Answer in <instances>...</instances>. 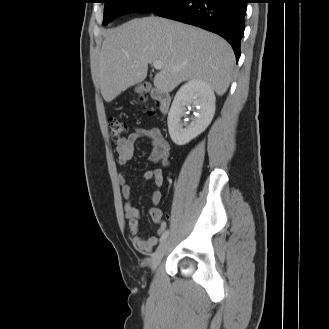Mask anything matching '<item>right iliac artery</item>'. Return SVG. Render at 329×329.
Here are the masks:
<instances>
[{
	"label": "right iliac artery",
	"mask_w": 329,
	"mask_h": 329,
	"mask_svg": "<svg viewBox=\"0 0 329 329\" xmlns=\"http://www.w3.org/2000/svg\"><path fill=\"white\" fill-rule=\"evenodd\" d=\"M168 234H169V231H168V230L165 231V232L162 234V236H161V238H160V242H161V243H162L163 241H165V239L167 238Z\"/></svg>",
	"instance_id": "1"
}]
</instances>
